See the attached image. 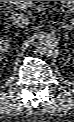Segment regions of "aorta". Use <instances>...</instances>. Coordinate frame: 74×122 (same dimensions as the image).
<instances>
[{
    "instance_id": "aorta-1",
    "label": "aorta",
    "mask_w": 74,
    "mask_h": 122,
    "mask_svg": "<svg viewBox=\"0 0 74 122\" xmlns=\"http://www.w3.org/2000/svg\"><path fill=\"white\" fill-rule=\"evenodd\" d=\"M58 47V40L55 36L43 33L39 36L37 41V51L41 55H51Z\"/></svg>"
}]
</instances>
